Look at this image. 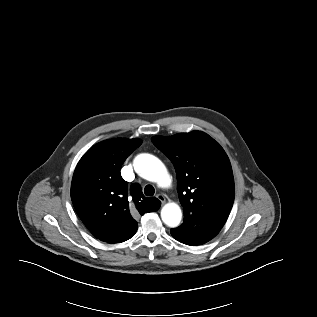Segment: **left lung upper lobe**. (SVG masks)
Segmentation results:
<instances>
[{
    "label": "left lung upper lobe",
    "instance_id": "obj_1",
    "mask_svg": "<svg viewBox=\"0 0 317 317\" xmlns=\"http://www.w3.org/2000/svg\"><path fill=\"white\" fill-rule=\"evenodd\" d=\"M152 142L175 167L183 224L197 216L227 219L235 188L231 164L222 147L201 131L155 136Z\"/></svg>",
    "mask_w": 317,
    "mask_h": 317
}]
</instances>
